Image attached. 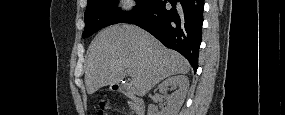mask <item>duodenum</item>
Listing matches in <instances>:
<instances>
[{
    "mask_svg": "<svg viewBox=\"0 0 285 115\" xmlns=\"http://www.w3.org/2000/svg\"><path fill=\"white\" fill-rule=\"evenodd\" d=\"M114 89L120 93H122L123 95L131 98L132 102H133V107L135 110V113L138 115H142L144 114L145 111V106H144V102L141 99L140 96H138L137 94L133 93L130 88L126 85H122V84H118L114 86Z\"/></svg>",
    "mask_w": 285,
    "mask_h": 115,
    "instance_id": "410a0bca",
    "label": "duodenum"
}]
</instances>
